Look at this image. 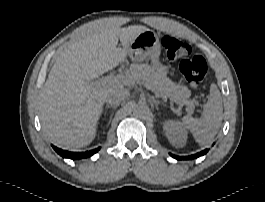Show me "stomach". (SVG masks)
I'll use <instances>...</instances> for the list:
<instances>
[{"label":"stomach","mask_w":265,"mask_h":202,"mask_svg":"<svg viewBox=\"0 0 265 202\" xmlns=\"http://www.w3.org/2000/svg\"><path fill=\"white\" fill-rule=\"evenodd\" d=\"M160 52L161 43L159 37L152 30L140 33L129 46V56L133 61L141 62L149 57L153 68L165 75L167 68L159 62Z\"/></svg>","instance_id":"1"}]
</instances>
